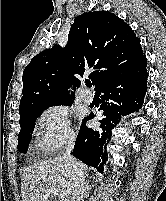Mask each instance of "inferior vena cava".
Segmentation results:
<instances>
[{
	"label": "inferior vena cava",
	"instance_id": "602c4592",
	"mask_svg": "<svg viewBox=\"0 0 166 201\" xmlns=\"http://www.w3.org/2000/svg\"><path fill=\"white\" fill-rule=\"evenodd\" d=\"M75 140L71 138L65 148L63 158L68 164V170L72 178V192L70 201H83L85 192L84 173L81 169L80 163L72 156L71 151L74 148Z\"/></svg>",
	"mask_w": 166,
	"mask_h": 201
}]
</instances>
